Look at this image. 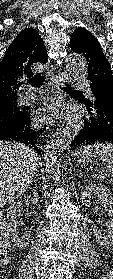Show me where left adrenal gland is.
Masks as SVG:
<instances>
[{
	"label": "left adrenal gland",
	"mask_w": 113,
	"mask_h": 279,
	"mask_svg": "<svg viewBox=\"0 0 113 279\" xmlns=\"http://www.w3.org/2000/svg\"><path fill=\"white\" fill-rule=\"evenodd\" d=\"M79 174L82 176L83 175L82 171H79Z\"/></svg>",
	"instance_id": "a2214340"
}]
</instances>
